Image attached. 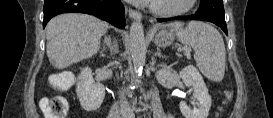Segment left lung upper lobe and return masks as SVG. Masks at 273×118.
I'll use <instances>...</instances> for the list:
<instances>
[{
  "mask_svg": "<svg viewBox=\"0 0 273 118\" xmlns=\"http://www.w3.org/2000/svg\"><path fill=\"white\" fill-rule=\"evenodd\" d=\"M197 12L224 18L223 0H201Z\"/></svg>",
  "mask_w": 273,
  "mask_h": 118,
  "instance_id": "left-lung-upper-lobe-1",
  "label": "left lung upper lobe"
}]
</instances>
